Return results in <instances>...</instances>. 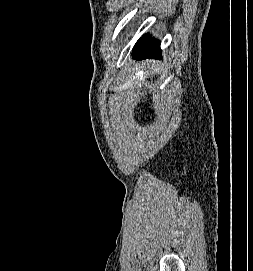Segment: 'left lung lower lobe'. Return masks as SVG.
<instances>
[{"instance_id": "1", "label": "left lung lower lobe", "mask_w": 253, "mask_h": 271, "mask_svg": "<svg viewBox=\"0 0 253 271\" xmlns=\"http://www.w3.org/2000/svg\"><path fill=\"white\" fill-rule=\"evenodd\" d=\"M135 59H143L146 57L161 58L160 41L153 39L148 34L144 35L133 49Z\"/></svg>"}]
</instances>
